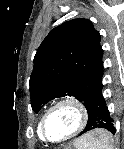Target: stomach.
<instances>
[{"mask_svg":"<svg viewBox=\"0 0 124 149\" xmlns=\"http://www.w3.org/2000/svg\"><path fill=\"white\" fill-rule=\"evenodd\" d=\"M101 131L100 130H95L93 132H90L88 134H86L84 137H82L79 141H77L75 144H74V147L75 148H67V149H81L83 147V142L88 140L89 138L91 137H96L99 135Z\"/></svg>","mask_w":124,"mask_h":149,"instance_id":"stomach-1","label":"stomach"}]
</instances>
